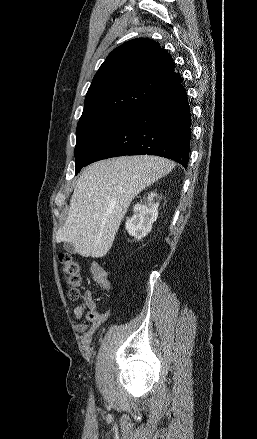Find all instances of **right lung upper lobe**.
<instances>
[{
    "mask_svg": "<svg viewBox=\"0 0 257 439\" xmlns=\"http://www.w3.org/2000/svg\"><path fill=\"white\" fill-rule=\"evenodd\" d=\"M181 83L171 56L159 43L147 38L133 39L114 49L95 74L82 116H130Z\"/></svg>",
    "mask_w": 257,
    "mask_h": 439,
    "instance_id": "right-lung-upper-lobe-1",
    "label": "right lung upper lobe"
}]
</instances>
